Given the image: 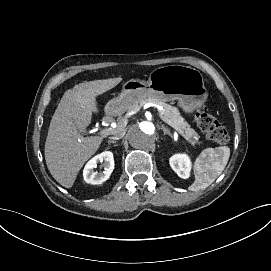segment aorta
Instances as JSON below:
<instances>
[{
  "label": "aorta",
  "mask_w": 271,
  "mask_h": 271,
  "mask_svg": "<svg viewBox=\"0 0 271 271\" xmlns=\"http://www.w3.org/2000/svg\"><path fill=\"white\" fill-rule=\"evenodd\" d=\"M127 137L133 148L143 152L152 150L157 138V126L151 120L136 122L128 130Z\"/></svg>",
  "instance_id": "762f6f07"
}]
</instances>
